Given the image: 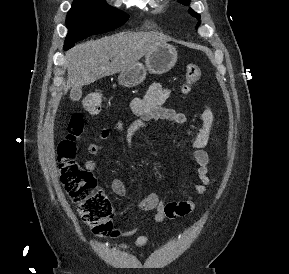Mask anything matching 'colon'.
I'll return each instance as SVG.
<instances>
[{"mask_svg": "<svg viewBox=\"0 0 289 274\" xmlns=\"http://www.w3.org/2000/svg\"><path fill=\"white\" fill-rule=\"evenodd\" d=\"M201 77V69L189 64L184 75L183 91L188 92ZM101 94L91 92L81 100L83 109L90 114L101 110ZM84 130L81 115H74L69 123L66 136L57 147L60 180L69 198L77 205L83 221L95 235L103 236L113 231L112 204L104 190L97 184L93 174L85 170L76 160L77 139Z\"/></svg>", "mask_w": 289, "mask_h": 274, "instance_id": "5ec220e1", "label": "colon"}]
</instances>
